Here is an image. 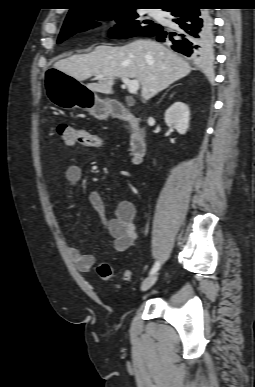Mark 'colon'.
<instances>
[{
  "label": "colon",
  "mask_w": 255,
  "mask_h": 387,
  "mask_svg": "<svg viewBox=\"0 0 255 387\" xmlns=\"http://www.w3.org/2000/svg\"><path fill=\"white\" fill-rule=\"evenodd\" d=\"M57 134L66 146H73L76 142L88 147H102L105 145V140L100 135L68 123L59 124ZM96 271L98 276L105 281H111L114 276L113 268L106 262L99 263ZM122 277L125 281H131L133 279V273L125 270Z\"/></svg>",
  "instance_id": "5ec220e1"
}]
</instances>
